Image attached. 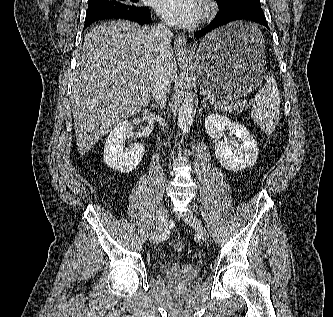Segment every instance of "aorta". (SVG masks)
Returning <instances> with one entry per match:
<instances>
[{"label": "aorta", "mask_w": 333, "mask_h": 317, "mask_svg": "<svg viewBox=\"0 0 333 317\" xmlns=\"http://www.w3.org/2000/svg\"><path fill=\"white\" fill-rule=\"evenodd\" d=\"M194 95L190 91L183 93V98L178 111V126L183 134L190 131L193 123Z\"/></svg>", "instance_id": "1"}]
</instances>
